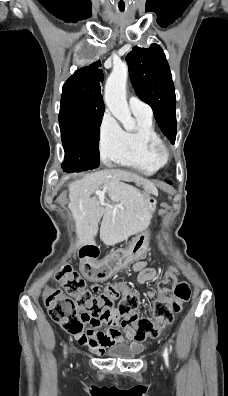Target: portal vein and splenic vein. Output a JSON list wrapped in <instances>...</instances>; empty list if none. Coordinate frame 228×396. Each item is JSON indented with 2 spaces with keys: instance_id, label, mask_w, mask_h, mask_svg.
Segmentation results:
<instances>
[{
  "instance_id": "1",
  "label": "portal vein and splenic vein",
  "mask_w": 228,
  "mask_h": 396,
  "mask_svg": "<svg viewBox=\"0 0 228 396\" xmlns=\"http://www.w3.org/2000/svg\"><path fill=\"white\" fill-rule=\"evenodd\" d=\"M105 190L106 188H104L103 191H96L95 194L98 195L100 199H104Z\"/></svg>"
}]
</instances>
